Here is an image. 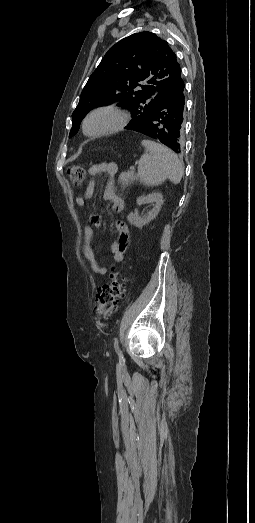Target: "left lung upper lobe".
<instances>
[{"label":"left lung upper lobe","mask_w":255,"mask_h":523,"mask_svg":"<svg viewBox=\"0 0 255 523\" xmlns=\"http://www.w3.org/2000/svg\"><path fill=\"white\" fill-rule=\"evenodd\" d=\"M140 81L145 85L139 84ZM180 81H183L180 65L166 41L151 32L122 39L106 53L86 83L72 114L69 137L77 133L90 110L116 101L132 111L134 120L126 129L134 130L132 125H144L146 118L153 115L152 111L161 106L164 93L171 92ZM156 91L159 94L152 98Z\"/></svg>","instance_id":"1"}]
</instances>
